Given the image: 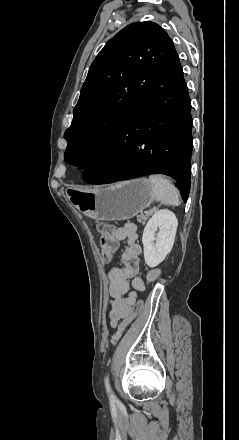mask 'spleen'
<instances>
[{
    "label": "spleen",
    "mask_w": 239,
    "mask_h": 440,
    "mask_svg": "<svg viewBox=\"0 0 239 440\" xmlns=\"http://www.w3.org/2000/svg\"><path fill=\"white\" fill-rule=\"evenodd\" d=\"M149 182L154 188L156 202H164L166 206H179V190L171 184L170 180H166L161 174H156V176H149Z\"/></svg>",
    "instance_id": "obj_1"
}]
</instances>
